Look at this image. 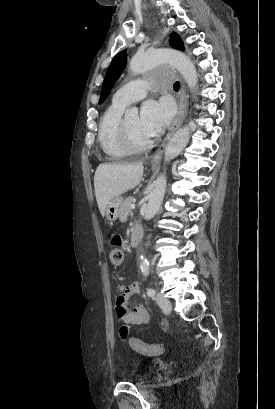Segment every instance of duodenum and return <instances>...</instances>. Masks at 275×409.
<instances>
[{"label":"duodenum","mask_w":275,"mask_h":409,"mask_svg":"<svg viewBox=\"0 0 275 409\" xmlns=\"http://www.w3.org/2000/svg\"><path fill=\"white\" fill-rule=\"evenodd\" d=\"M142 234V228L139 225H136L131 231L130 244L132 246H137L142 239Z\"/></svg>","instance_id":"obj_1"}]
</instances>
